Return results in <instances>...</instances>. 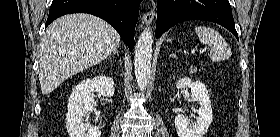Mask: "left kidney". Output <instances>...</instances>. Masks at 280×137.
Segmentation results:
<instances>
[{"label": "left kidney", "instance_id": "obj_1", "mask_svg": "<svg viewBox=\"0 0 280 137\" xmlns=\"http://www.w3.org/2000/svg\"><path fill=\"white\" fill-rule=\"evenodd\" d=\"M178 89L191 88V97L199 104L196 110V121L178 114L175 117V128L178 137H203L212 122L213 114L207 88L201 81L192 82L189 78H181L176 82Z\"/></svg>", "mask_w": 280, "mask_h": 137}]
</instances>
